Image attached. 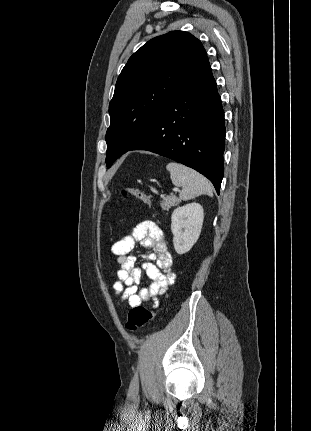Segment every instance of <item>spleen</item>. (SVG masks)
<instances>
[{
    "instance_id": "3e777b00",
    "label": "spleen",
    "mask_w": 311,
    "mask_h": 431,
    "mask_svg": "<svg viewBox=\"0 0 311 431\" xmlns=\"http://www.w3.org/2000/svg\"><path fill=\"white\" fill-rule=\"evenodd\" d=\"M166 170L170 172V178L172 184L177 186V188H182L179 198L180 200H193L201 194H207V196H213L212 186L209 180H206L204 176L191 170V168H186L182 164H176V162H170L166 166Z\"/></svg>"
}]
</instances>
